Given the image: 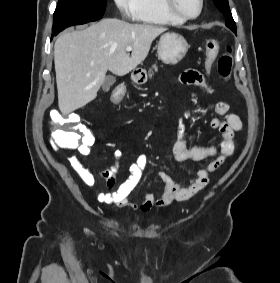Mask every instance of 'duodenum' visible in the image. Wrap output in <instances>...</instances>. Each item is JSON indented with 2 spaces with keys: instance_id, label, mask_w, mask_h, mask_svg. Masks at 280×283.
Here are the masks:
<instances>
[{
  "instance_id": "duodenum-1",
  "label": "duodenum",
  "mask_w": 280,
  "mask_h": 283,
  "mask_svg": "<svg viewBox=\"0 0 280 283\" xmlns=\"http://www.w3.org/2000/svg\"><path fill=\"white\" fill-rule=\"evenodd\" d=\"M133 79L137 84H142L145 81V77L140 73H135Z\"/></svg>"
}]
</instances>
